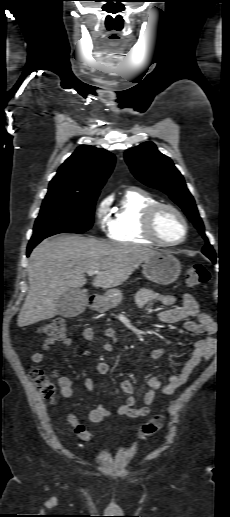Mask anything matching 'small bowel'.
<instances>
[{
	"label": "small bowel",
	"instance_id": "1",
	"mask_svg": "<svg viewBox=\"0 0 230 517\" xmlns=\"http://www.w3.org/2000/svg\"><path fill=\"white\" fill-rule=\"evenodd\" d=\"M136 301L139 307H145L149 302L156 301L164 306H172L176 302V297L172 294H159L149 289H143L138 292ZM196 318V320H193ZM158 320L165 324H172L177 322H184V327L187 331L194 334H204L206 337L194 343L191 357L173 374L169 376L167 381H162L158 377L149 379V389L142 395V405L136 407L137 397L133 384L130 380L123 379L119 386L123 393L127 395L126 401L117 409V414L127 416L130 418H141L149 415V406L154 401L157 391H161L164 395H172L177 389L183 386L188 380L193 371L201 364L208 362L217 351V340L215 335L218 331L217 324L211 317L200 310L195 298L185 293L182 296V305L172 307L164 310L158 314ZM104 335L112 339V342H104L101 348L107 352H113L116 349L117 335L113 328L105 331ZM82 337L85 340H93L95 332L91 327L82 329ZM55 340L48 338L41 344V350L36 351L31 356L33 363H41L45 359V353L51 348ZM66 344H70V340H65ZM164 353L162 348H156L150 351L149 357L157 359ZM98 374L105 376L109 373V365L106 362L100 361L95 365ZM58 384L61 389L63 398H70L74 393L75 384L67 375L58 376ZM86 389L94 392V383L91 379L84 382ZM110 412L99 402L94 403L89 410L88 418L92 423H100L107 417ZM67 422L73 428L74 433L83 441H90L93 437L92 433L82 424L78 417L73 413H68L66 416Z\"/></svg>",
	"mask_w": 230,
	"mask_h": 517
}]
</instances>
